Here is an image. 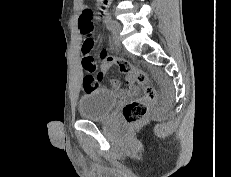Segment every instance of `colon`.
Masks as SVG:
<instances>
[{
	"mask_svg": "<svg viewBox=\"0 0 231 177\" xmlns=\"http://www.w3.org/2000/svg\"><path fill=\"white\" fill-rule=\"evenodd\" d=\"M78 25L84 37L81 47L82 65L87 72L83 79V87L86 91H91L97 88L100 82L97 75H94L97 71V63L91 55L94 48V26L90 9L81 14ZM101 56L112 65H116L121 73L132 77L135 83L143 87V95L130 101L123 108V116L127 123L136 124L140 122L148 113L149 107L157 95L155 88L150 84L148 75L144 71L135 68L126 59L107 56L104 53Z\"/></svg>",
	"mask_w": 231,
	"mask_h": 177,
	"instance_id": "1",
	"label": "colon"
}]
</instances>
